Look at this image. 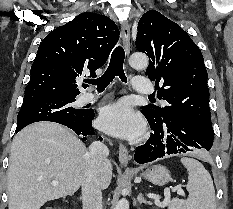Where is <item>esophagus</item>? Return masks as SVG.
<instances>
[{
  "mask_svg": "<svg viewBox=\"0 0 233 209\" xmlns=\"http://www.w3.org/2000/svg\"><path fill=\"white\" fill-rule=\"evenodd\" d=\"M121 36H122V41H123L125 52L127 55H129L130 53V27L127 22H123L121 25ZM118 152H119V162L122 165L127 166L129 159H130L128 149L123 144H120Z\"/></svg>",
  "mask_w": 233,
  "mask_h": 209,
  "instance_id": "esophagus-1",
  "label": "esophagus"
}]
</instances>
